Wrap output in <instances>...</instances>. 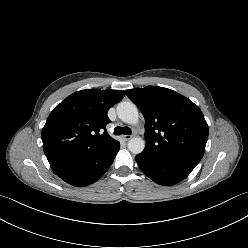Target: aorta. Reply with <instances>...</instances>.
Returning <instances> with one entry per match:
<instances>
[{"instance_id":"obj_1","label":"aorta","mask_w":248,"mask_h":248,"mask_svg":"<svg viewBox=\"0 0 248 248\" xmlns=\"http://www.w3.org/2000/svg\"><path fill=\"white\" fill-rule=\"evenodd\" d=\"M117 115L125 123L136 125L139 120L137 107L128 101H124L117 106ZM145 142L141 137H133L128 142V149L133 154H139L144 150Z\"/></svg>"}]
</instances>
